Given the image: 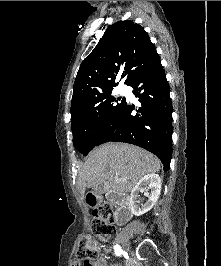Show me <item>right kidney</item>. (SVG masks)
Listing matches in <instances>:
<instances>
[{"instance_id": "1", "label": "right kidney", "mask_w": 221, "mask_h": 266, "mask_svg": "<svg viewBox=\"0 0 221 266\" xmlns=\"http://www.w3.org/2000/svg\"><path fill=\"white\" fill-rule=\"evenodd\" d=\"M161 178L158 174L151 173L142 177L131 191L130 205L131 211L135 216H141L152 209L157 202L161 191ZM148 200L140 204V193L147 192Z\"/></svg>"}]
</instances>
